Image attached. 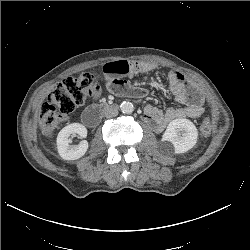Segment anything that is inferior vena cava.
<instances>
[{
	"label": "inferior vena cava",
	"mask_w": 250,
	"mask_h": 250,
	"mask_svg": "<svg viewBox=\"0 0 250 250\" xmlns=\"http://www.w3.org/2000/svg\"><path fill=\"white\" fill-rule=\"evenodd\" d=\"M104 115L107 118L115 117L118 115V109L114 106H109L105 109Z\"/></svg>",
	"instance_id": "obj_1"
}]
</instances>
